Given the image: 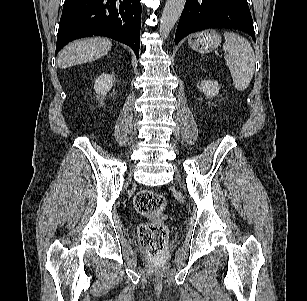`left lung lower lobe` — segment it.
Masks as SVG:
<instances>
[{
  "mask_svg": "<svg viewBox=\"0 0 307 301\" xmlns=\"http://www.w3.org/2000/svg\"><path fill=\"white\" fill-rule=\"evenodd\" d=\"M208 28H234L255 41L247 0H186L175 35V44L190 33Z\"/></svg>",
  "mask_w": 307,
  "mask_h": 301,
  "instance_id": "1",
  "label": "left lung lower lobe"
}]
</instances>
